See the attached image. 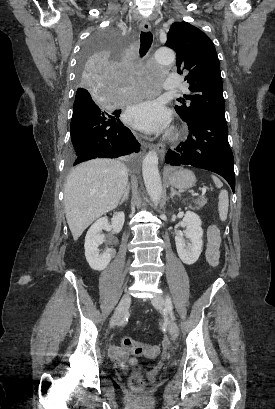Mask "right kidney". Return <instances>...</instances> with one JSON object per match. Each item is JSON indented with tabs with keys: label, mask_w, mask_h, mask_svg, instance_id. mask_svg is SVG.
<instances>
[{
	"label": "right kidney",
	"mask_w": 275,
	"mask_h": 409,
	"mask_svg": "<svg viewBox=\"0 0 275 409\" xmlns=\"http://www.w3.org/2000/svg\"><path fill=\"white\" fill-rule=\"evenodd\" d=\"M124 213H115L111 219V227L113 233H120L124 225ZM109 221L107 217H101L98 219L92 227H90L86 237H85V257L87 263H89L93 271H104L108 267L112 257H114L116 251L115 249H106L105 253L100 255L99 245H101L104 235H101L103 229H108Z\"/></svg>",
	"instance_id": "right-kidney-1"
}]
</instances>
